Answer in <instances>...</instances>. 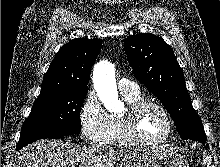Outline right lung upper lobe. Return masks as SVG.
<instances>
[{"mask_svg":"<svg viewBox=\"0 0 220 167\" xmlns=\"http://www.w3.org/2000/svg\"><path fill=\"white\" fill-rule=\"evenodd\" d=\"M101 47L100 39L88 38H76L62 46L44 75L37 99L69 89L88 88L90 71Z\"/></svg>","mask_w":220,"mask_h":167,"instance_id":"cb5924a9","label":"right lung upper lobe"}]
</instances>
